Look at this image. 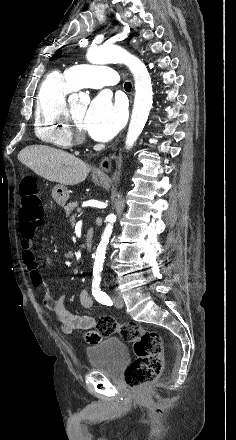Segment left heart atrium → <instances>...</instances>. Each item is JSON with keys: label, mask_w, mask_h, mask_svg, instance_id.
Returning <instances> with one entry per match:
<instances>
[{"label": "left heart atrium", "mask_w": 236, "mask_h": 440, "mask_svg": "<svg viewBox=\"0 0 236 440\" xmlns=\"http://www.w3.org/2000/svg\"><path fill=\"white\" fill-rule=\"evenodd\" d=\"M123 109L106 94L97 96L86 110L84 129L95 140L108 141L123 124Z\"/></svg>", "instance_id": "39dd6f15"}]
</instances>
